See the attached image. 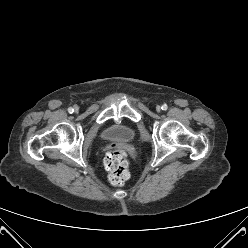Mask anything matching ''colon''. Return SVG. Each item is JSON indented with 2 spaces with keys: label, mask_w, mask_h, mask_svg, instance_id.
Wrapping results in <instances>:
<instances>
[{
  "label": "colon",
  "mask_w": 248,
  "mask_h": 248,
  "mask_svg": "<svg viewBox=\"0 0 248 248\" xmlns=\"http://www.w3.org/2000/svg\"><path fill=\"white\" fill-rule=\"evenodd\" d=\"M104 164L113 185H122L128 180L130 172L124 151L120 149L109 151L105 157Z\"/></svg>",
  "instance_id": "obj_1"
}]
</instances>
